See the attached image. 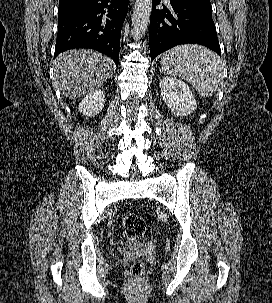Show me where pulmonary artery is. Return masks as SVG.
<instances>
[{"mask_svg": "<svg viewBox=\"0 0 272 303\" xmlns=\"http://www.w3.org/2000/svg\"><path fill=\"white\" fill-rule=\"evenodd\" d=\"M169 1H170V0H165V2H167V3H168Z\"/></svg>", "mask_w": 272, "mask_h": 303, "instance_id": "pulmonary-artery-1", "label": "pulmonary artery"}]
</instances>
